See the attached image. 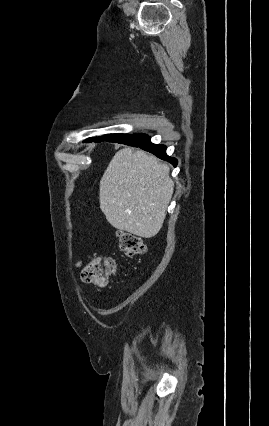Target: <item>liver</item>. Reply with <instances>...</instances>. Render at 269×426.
I'll return each mask as SVG.
<instances>
[{"mask_svg": "<svg viewBox=\"0 0 269 426\" xmlns=\"http://www.w3.org/2000/svg\"><path fill=\"white\" fill-rule=\"evenodd\" d=\"M170 168L142 150L124 147L100 180V209L116 229L143 238L162 228L174 183Z\"/></svg>", "mask_w": 269, "mask_h": 426, "instance_id": "liver-1", "label": "liver"}]
</instances>
